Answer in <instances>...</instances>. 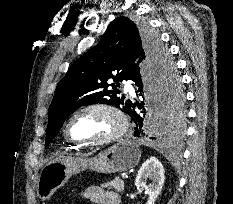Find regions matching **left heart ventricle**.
I'll return each mask as SVG.
<instances>
[{
    "mask_svg": "<svg viewBox=\"0 0 233 204\" xmlns=\"http://www.w3.org/2000/svg\"><path fill=\"white\" fill-rule=\"evenodd\" d=\"M116 128L112 116L102 111H91L77 116L70 124L72 137L79 140H99L111 134Z\"/></svg>",
    "mask_w": 233,
    "mask_h": 204,
    "instance_id": "left-heart-ventricle-1",
    "label": "left heart ventricle"
}]
</instances>
